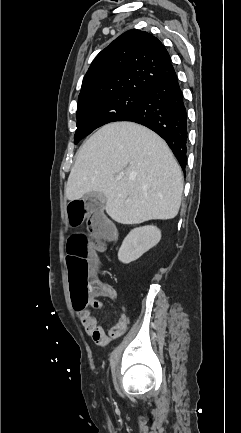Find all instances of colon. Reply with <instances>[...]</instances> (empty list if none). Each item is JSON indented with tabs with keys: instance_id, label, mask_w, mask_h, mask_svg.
<instances>
[{
	"instance_id": "obj_1",
	"label": "colon",
	"mask_w": 241,
	"mask_h": 433,
	"mask_svg": "<svg viewBox=\"0 0 241 433\" xmlns=\"http://www.w3.org/2000/svg\"><path fill=\"white\" fill-rule=\"evenodd\" d=\"M84 199L68 202V228L78 229L87 217L90 232L95 238V243H91L86 235L74 234L67 246L65 264L70 272L69 289L75 312H86L89 302L102 291L101 282L93 273L96 264L94 249L100 248L101 241L111 236V224L105 215L108 211L107 205H103L102 200Z\"/></svg>"
}]
</instances>
